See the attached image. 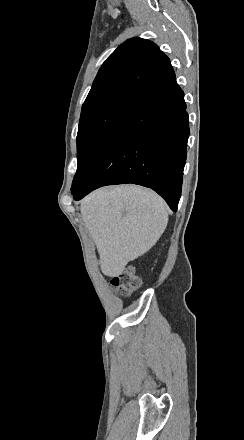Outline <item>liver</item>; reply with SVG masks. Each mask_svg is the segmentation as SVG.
<instances>
[{"instance_id":"6515ba94","label":"liver","mask_w":244,"mask_h":440,"mask_svg":"<svg viewBox=\"0 0 244 440\" xmlns=\"http://www.w3.org/2000/svg\"><path fill=\"white\" fill-rule=\"evenodd\" d=\"M82 220L100 256L104 276L118 278L128 262L155 246L168 224L165 202L148 188H100L80 204Z\"/></svg>"}]
</instances>
